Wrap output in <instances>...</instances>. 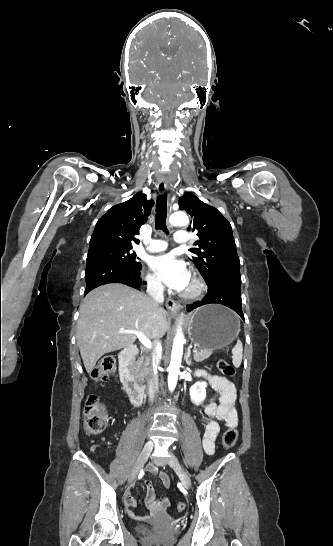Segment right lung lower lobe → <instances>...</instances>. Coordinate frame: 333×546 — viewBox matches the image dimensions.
<instances>
[{"instance_id": "obj_1", "label": "right lung lower lobe", "mask_w": 333, "mask_h": 546, "mask_svg": "<svg viewBox=\"0 0 333 546\" xmlns=\"http://www.w3.org/2000/svg\"><path fill=\"white\" fill-rule=\"evenodd\" d=\"M86 261L84 296L92 289L108 283H123L136 289L142 284V266L133 267L104 257H92Z\"/></svg>"}]
</instances>
